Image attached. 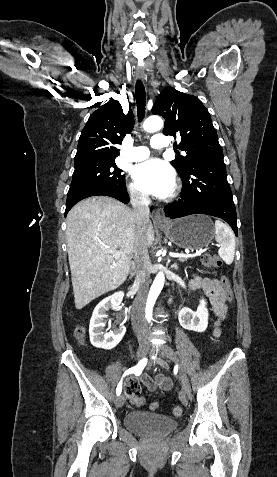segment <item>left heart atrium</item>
<instances>
[{
    "instance_id": "1",
    "label": "left heart atrium",
    "mask_w": 277,
    "mask_h": 477,
    "mask_svg": "<svg viewBox=\"0 0 277 477\" xmlns=\"http://www.w3.org/2000/svg\"><path fill=\"white\" fill-rule=\"evenodd\" d=\"M133 178L140 189L157 197L168 196L175 186L174 170L159 159L136 165Z\"/></svg>"
}]
</instances>
